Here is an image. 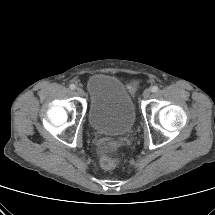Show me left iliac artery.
Here are the masks:
<instances>
[{"label": "left iliac artery", "mask_w": 215, "mask_h": 215, "mask_svg": "<svg viewBox=\"0 0 215 215\" xmlns=\"http://www.w3.org/2000/svg\"><path fill=\"white\" fill-rule=\"evenodd\" d=\"M158 86H153V87H151V91L152 92H157L158 91Z\"/></svg>", "instance_id": "obj_1"}]
</instances>
